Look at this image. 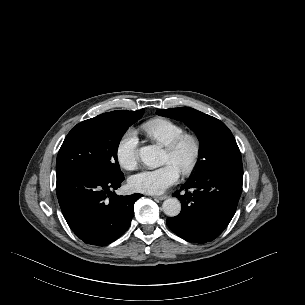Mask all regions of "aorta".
<instances>
[{
    "label": "aorta",
    "instance_id": "obj_1",
    "mask_svg": "<svg viewBox=\"0 0 305 305\" xmlns=\"http://www.w3.org/2000/svg\"><path fill=\"white\" fill-rule=\"evenodd\" d=\"M142 162L149 166H160L163 163V150L157 145L140 148ZM164 213L169 217L177 216L181 211V203L177 198H168L162 204Z\"/></svg>",
    "mask_w": 305,
    "mask_h": 305
}]
</instances>
